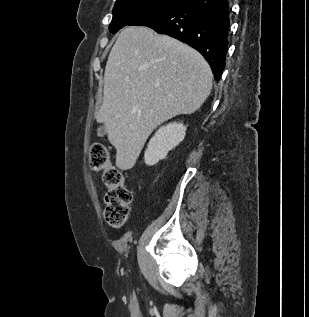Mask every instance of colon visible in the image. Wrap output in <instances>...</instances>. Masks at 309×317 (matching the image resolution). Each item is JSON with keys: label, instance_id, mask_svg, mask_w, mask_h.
<instances>
[{"label": "colon", "instance_id": "obj_1", "mask_svg": "<svg viewBox=\"0 0 309 317\" xmlns=\"http://www.w3.org/2000/svg\"><path fill=\"white\" fill-rule=\"evenodd\" d=\"M89 166L94 171L102 172V179L107 188L105 193L104 217L113 228L122 227L129 215L132 194L125 185L122 172L111 164L107 148L100 142L90 146Z\"/></svg>", "mask_w": 309, "mask_h": 317}]
</instances>
